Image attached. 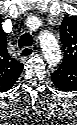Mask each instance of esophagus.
<instances>
[{
  "mask_svg": "<svg viewBox=\"0 0 77 125\" xmlns=\"http://www.w3.org/2000/svg\"><path fill=\"white\" fill-rule=\"evenodd\" d=\"M34 54V49L30 46H25L19 51L21 58H28Z\"/></svg>",
  "mask_w": 77,
  "mask_h": 125,
  "instance_id": "esophagus-1",
  "label": "esophagus"
}]
</instances>
